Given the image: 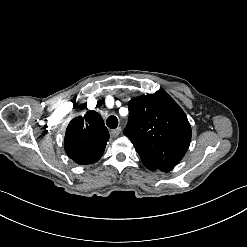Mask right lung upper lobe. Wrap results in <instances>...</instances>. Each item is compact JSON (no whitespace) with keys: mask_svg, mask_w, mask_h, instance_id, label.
Returning a JSON list of instances; mask_svg holds the SVG:
<instances>
[{"mask_svg":"<svg viewBox=\"0 0 247 247\" xmlns=\"http://www.w3.org/2000/svg\"><path fill=\"white\" fill-rule=\"evenodd\" d=\"M108 140L109 132L103 119L90 110L84 117H76L69 123L64 147L67 155L77 164H93L102 157Z\"/></svg>","mask_w":247,"mask_h":247,"instance_id":"obj_1","label":"right lung upper lobe"}]
</instances>
